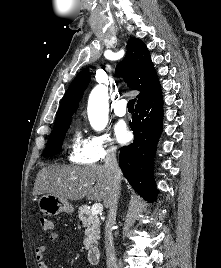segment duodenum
Segmentation results:
<instances>
[{
	"instance_id": "1",
	"label": "duodenum",
	"mask_w": 221,
	"mask_h": 268,
	"mask_svg": "<svg viewBox=\"0 0 221 268\" xmlns=\"http://www.w3.org/2000/svg\"><path fill=\"white\" fill-rule=\"evenodd\" d=\"M101 251L98 247H91L88 251V260L91 264H96L100 260Z\"/></svg>"
}]
</instances>
